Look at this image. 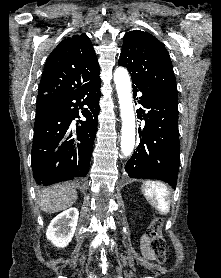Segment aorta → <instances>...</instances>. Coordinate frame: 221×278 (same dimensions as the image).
Instances as JSON below:
<instances>
[{
    "label": "aorta",
    "mask_w": 221,
    "mask_h": 278,
    "mask_svg": "<svg viewBox=\"0 0 221 278\" xmlns=\"http://www.w3.org/2000/svg\"><path fill=\"white\" fill-rule=\"evenodd\" d=\"M114 82L122 119L121 151L127 157L133 152L135 145V115L128 71L123 67H118L114 72Z\"/></svg>",
    "instance_id": "obj_1"
}]
</instances>
